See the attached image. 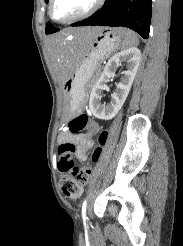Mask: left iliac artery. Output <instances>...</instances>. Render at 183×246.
Segmentation results:
<instances>
[{
    "label": "left iliac artery",
    "instance_id": "44dca946",
    "mask_svg": "<svg viewBox=\"0 0 183 246\" xmlns=\"http://www.w3.org/2000/svg\"><path fill=\"white\" fill-rule=\"evenodd\" d=\"M86 208H87V199L84 200L83 204H82V218H83V222L84 225L86 226Z\"/></svg>",
    "mask_w": 183,
    "mask_h": 246
}]
</instances>
